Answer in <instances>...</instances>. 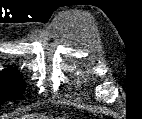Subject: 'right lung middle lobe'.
<instances>
[{
  "mask_svg": "<svg viewBox=\"0 0 142 119\" xmlns=\"http://www.w3.org/2000/svg\"><path fill=\"white\" fill-rule=\"evenodd\" d=\"M24 88L25 83L17 71L0 72V105L20 97Z\"/></svg>",
  "mask_w": 142,
  "mask_h": 119,
  "instance_id": "1",
  "label": "right lung middle lobe"
}]
</instances>
